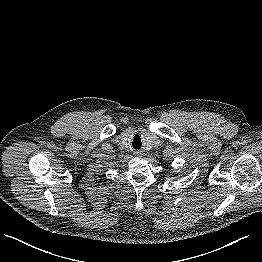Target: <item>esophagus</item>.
Here are the masks:
<instances>
[{
	"label": "esophagus",
	"mask_w": 262,
	"mask_h": 262,
	"mask_svg": "<svg viewBox=\"0 0 262 262\" xmlns=\"http://www.w3.org/2000/svg\"><path fill=\"white\" fill-rule=\"evenodd\" d=\"M135 154H136L137 156H141V155H142V153H141L140 151L135 152Z\"/></svg>",
	"instance_id": "esophagus-1"
}]
</instances>
